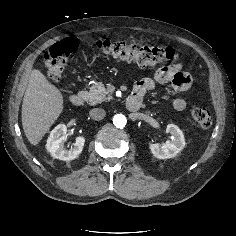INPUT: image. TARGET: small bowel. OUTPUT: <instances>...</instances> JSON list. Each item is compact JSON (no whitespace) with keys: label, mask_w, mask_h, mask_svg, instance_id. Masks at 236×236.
Masks as SVG:
<instances>
[{"label":"small bowel","mask_w":236,"mask_h":236,"mask_svg":"<svg viewBox=\"0 0 236 236\" xmlns=\"http://www.w3.org/2000/svg\"><path fill=\"white\" fill-rule=\"evenodd\" d=\"M171 83L179 93H185L191 86V76L182 70L181 64H173L158 69L152 78H144L136 82L133 95L142 96L153 89L156 84ZM171 105L174 110L182 111L186 107L185 100L179 96L172 100Z\"/></svg>","instance_id":"1"}]
</instances>
